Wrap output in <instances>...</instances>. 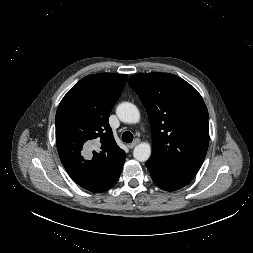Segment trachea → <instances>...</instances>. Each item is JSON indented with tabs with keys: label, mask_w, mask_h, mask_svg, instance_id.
<instances>
[{
	"label": "trachea",
	"mask_w": 253,
	"mask_h": 253,
	"mask_svg": "<svg viewBox=\"0 0 253 253\" xmlns=\"http://www.w3.org/2000/svg\"><path fill=\"white\" fill-rule=\"evenodd\" d=\"M133 140V134L130 131H125L122 134V141L126 143H131Z\"/></svg>",
	"instance_id": "3493384b"
}]
</instances>
